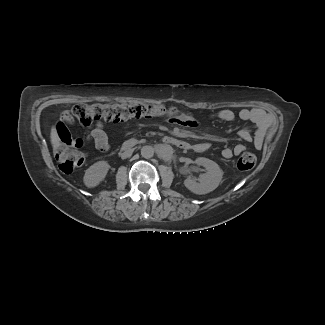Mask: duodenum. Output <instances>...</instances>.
Instances as JSON below:
<instances>
[{
	"label": "duodenum",
	"mask_w": 325,
	"mask_h": 325,
	"mask_svg": "<svg viewBox=\"0 0 325 325\" xmlns=\"http://www.w3.org/2000/svg\"><path fill=\"white\" fill-rule=\"evenodd\" d=\"M164 143L180 148V149H188L189 148V143H187L186 141L180 140L178 138L175 137H171V136H166L164 137ZM136 145V141L135 140H127L122 144V148L124 150L133 148Z\"/></svg>",
	"instance_id": "1"
}]
</instances>
